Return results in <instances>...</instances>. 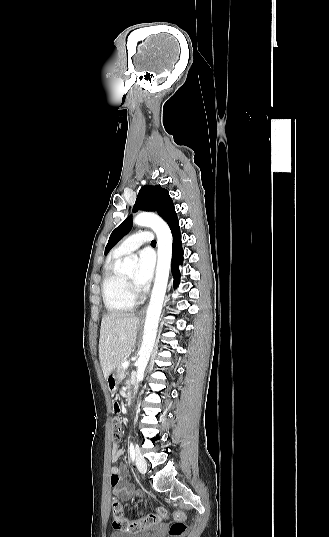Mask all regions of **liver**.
Returning a JSON list of instances; mask_svg holds the SVG:
<instances>
[{"mask_svg":"<svg viewBox=\"0 0 329 537\" xmlns=\"http://www.w3.org/2000/svg\"><path fill=\"white\" fill-rule=\"evenodd\" d=\"M139 319L132 314L112 313L102 318L99 338V359L104 377L113 372L136 342Z\"/></svg>","mask_w":329,"mask_h":537,"instance_id":"obj_1","label":"liver"}]
</instances>
